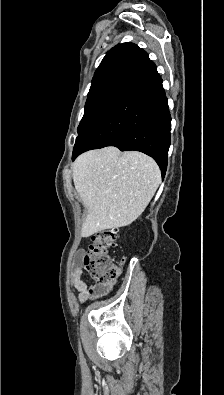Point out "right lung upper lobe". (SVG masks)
<instances>
[{
	"mask_svg": "<svg viewBox=\"0 0 224 395\" xmlns=\"http://www.w3.org/2000/svg\"><path fill=\"white\" fill-rule=\"evenodd\" d=\"M139 49L133 43H123L113 47L103 58L94 74L93 80L113 71L120 70Z\"/></svg>",
	"mask_w": 224,
	"mask_h": 395,
	"instance_id": "obj_1",
	"label": "right lung upper lobe"
}]
</instances>
